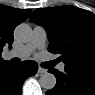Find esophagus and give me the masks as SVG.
Masks as SVG:
<instances>
[{"label": "esophagus", "instance_id": "obj_1", "mask_svg": "<svg viewBox=\"0 0 95 95\" xmlns=\"http://www.w3.org/2000/svg\"><path fill=\"white\" fill-rule=\"evenodd\" d=\"M38 73H39V74H45V73H47V70L44 69V68H42V67H39V68H38Z\"/></svg>", "mask_w": 95, "mask_h": 95}]
</instances>
